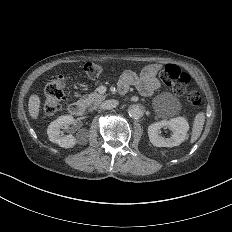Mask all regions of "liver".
<instances>
[{"label": "liver", "instance_id": "obj_1", "mask_svg": "<svg viewBox=\"0 0 232 232\" xmlns=\"http://www.w3.org/2000/svg\"><path fill=\"white\" fill-rule=\"evenodd\" d=\"M40 99L37 95L33 94L29 98L28 109L30 116L33 119H37L39 114Z\"/></svg>", "mask_w": 232, "mask_h": 232}]
</instances>
